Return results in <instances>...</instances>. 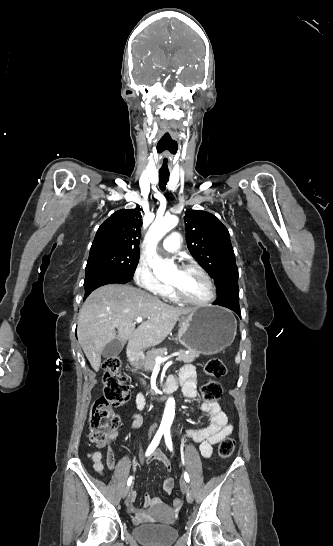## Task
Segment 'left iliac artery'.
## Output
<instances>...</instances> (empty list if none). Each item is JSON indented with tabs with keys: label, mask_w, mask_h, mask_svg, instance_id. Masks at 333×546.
Returning <instances> with one entry per match:
<instances>
[{
	"label": "left iliac artery",
	"mask_w": 333,
	"mask_h": 546,
	"mask_svg": "<svg viewBox=\"0 0 333 546\" xmlns=\"http://www.w3.org/2000/svg\"><path fill=\"white\" fill-rule=\"evenodd\" d=\"M164 438H165V443L168 449L170 451H173V444H172V439H171V434L169 429L164 430ZM184 479L187 483L190 481L189 475L186 472L184 473Z\"/></svg>",
	"instance_id": "left-iliac-artery-1"
}]
</instances>
